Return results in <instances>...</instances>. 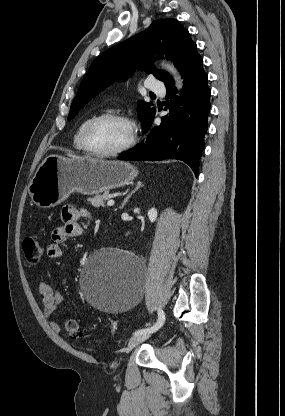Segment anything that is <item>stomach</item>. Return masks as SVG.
Returning a JSON list of instances; mask_svg holds the SVG:
<instances>
[{
    "instance_id": "stomach-1",
    "label": "stomach",
    "mask_w": 285,
    "mask_h": 416,
    "mask_svg": "<svg viewBox=\"0 0 285 416\" xmlns=\"http://www.w3.org/2000/svg\"><path fill=\"white\" fill-rule=\"evenodd\" d=\"M138 170L127 162H108L101 158L74 160L63 156H47L32 178L28 192L39 208H54L72 192L93 196L133 182Z\"/></svg>"
}]
</instances>
